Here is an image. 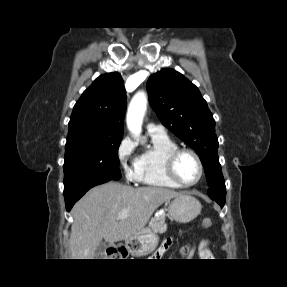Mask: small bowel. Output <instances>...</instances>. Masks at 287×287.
<instances>
[{"label":"small bowel","mask_w":287,"mask_h":287,"mask_svg":"<svg viewBox=\"0 0 287 287\" xmlns=\"http://www.w3.org/2000/svg\"><path fill=\"white\" fill-rule=\"evenodd\" d=\"M172 242H173L172 238H167L166 240H164L162 242V244L160 245V247L158 248V250L156 252V256H160L164 252H166L169 249V247L171 246ZM208 247H209V240H207V239L202 240L199 243L198 252L202 258H207L211 255Z\"/></svg>","instance_id":"1"}]
</instances>
